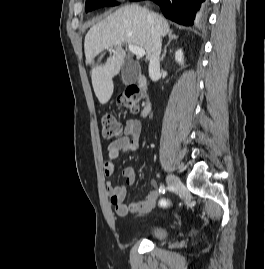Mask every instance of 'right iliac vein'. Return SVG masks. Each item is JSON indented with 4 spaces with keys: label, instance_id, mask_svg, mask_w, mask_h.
Returning <instances> with one entry per match:
<instances>
[{
    "label": "right iliac vein",
    "instance_id": "right-iliac-vein-1",
    "mask_svg": "<svg viewBox=\"0 0 265 269\" xmlns=\"http://www.w3.org/2000/svg\"><path fill=\"white\" fill-rule=\"evenodd\" d=\"M166 180L169 187L172 188L173 190L180 188L182 185L180 179L173 174H168Z\"/></svg>",
    "mask_w": 265,
    "mask_h": 269
}]
</instances>
